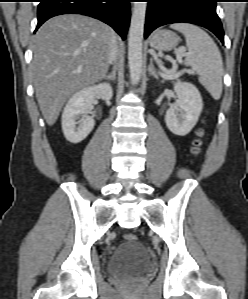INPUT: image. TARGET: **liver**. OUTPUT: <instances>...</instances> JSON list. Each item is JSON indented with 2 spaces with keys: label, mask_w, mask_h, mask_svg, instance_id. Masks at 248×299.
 <instances>
[{
  "label": "liver",
  "mask_w": 248,
  "mask_h": 299,
  "mask_svg": "<svg viewBox=\"0 0 248 299\" xmlns=\"http://www.w3.org/2000/svg\"><path fill=\"white\" fill-rule=\"evenodd\" d=\"M112 38L116 35L109 26L77 14L53 17L40 27L33 39L31 71L49 126L73 93L105 77Z\"/></svg>",
  "instance_id": "liver-1"
}]
</instances>
